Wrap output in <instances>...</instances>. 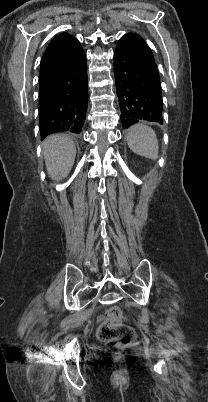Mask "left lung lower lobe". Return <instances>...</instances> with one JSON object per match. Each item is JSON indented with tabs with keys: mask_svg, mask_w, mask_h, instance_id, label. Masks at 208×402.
Instances as JSON below:
<instances>
[{
	"mask_svg": "<svg viewBox=\"0 0 208 402\" xmlns=\"http://www.w3.org/2000/svg\"><path fill=\"white\" fill-rule=\"evenodd\" d=\"M114 76L126 129L139 121L163 124L158 68L147 43L139 35H123L114 53Z\"/></svg>",
	"mask_w": 208,
	"mask_h": 402,
	"instance_id": "left-lung-lower-lobe-1",
	"label": "left lung lower lobe"
}]
</instances>
